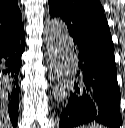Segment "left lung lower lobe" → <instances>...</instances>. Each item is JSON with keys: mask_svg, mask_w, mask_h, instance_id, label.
Here are the masks:
<instances>
[{"mask_svg": "<svg viewBox=\"0 0 125 128\" xmlns=\"http://www.w3.org/2000/svg\"><path fill=\"white\" fill-rule=\"evenodd\" d=\"M73 42L79 71L68 105L60 116L59 128H76L90 122L119 128L121 94L114 50L78 40Z\"/></svg>", "mask_w": 125, "mask_h": 128, "instance_id": "0a47b994", "label": "left lung lower lobe"}]
</instances>
